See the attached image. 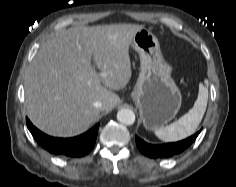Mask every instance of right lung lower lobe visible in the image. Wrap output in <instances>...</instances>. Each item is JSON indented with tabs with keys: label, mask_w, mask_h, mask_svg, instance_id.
Wrapping results in <instances>:
<instances>
[{
	"label": "right lung lower lobe",
	"mask_w": 236,
	"mask_h": 187,
	"mask_svg": "<svg viewBox=\"0 0 236 187\" xmlns=\"http://www.w3.org/2000/svg\"><path fill=\"white\" fill-rule=\"evenodd\" d=\"M27 127L37 143L54 155L67 157H83L88 154L95 145L99 124L86 133L73 138H55L38 130L27 119Z\"/></svg>",
	"instance_id": "right-lung-lower-lobe-1"
}]
</instances>
